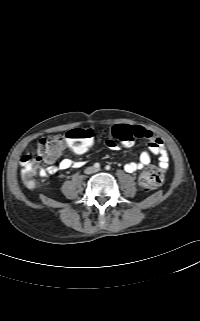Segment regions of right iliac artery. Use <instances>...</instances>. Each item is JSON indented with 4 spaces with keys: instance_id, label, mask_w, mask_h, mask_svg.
<instances>
[{
    "instance_id": "82829eb1",
    "label": "right iliac artery",
    "mask_w": 200,
    "mask_h": 321,
    "mask_svg": "<svg viewBox=\"0 0 200 321\" xmlns=\"http://www.w3.org/2000/svg\"><path fill=\"white\" fill-rule=\"evenodd\" d=\"M94 167H95V168H100V164H99V163H95V164H94Z\"/></svg>"
}]
</instances>
